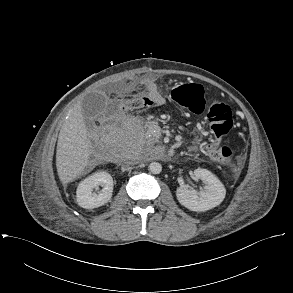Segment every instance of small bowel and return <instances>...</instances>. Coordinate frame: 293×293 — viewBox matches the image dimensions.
<instances>
[{
	"label": "small bowel",
	"mask_w": 293,
	"mask_h": 293,
	"mask_svg": "<svg viewBox=\"0 0 293 293\" xmlns=\"http://www.w3.org/2000/svg\"><path fill=\"white\" fill-rule=\"evenodd\" d=\"M124 88L126 90L143 88L154 97L155 105H162L165 103V97L160 93L156 80L151 75H145L139 78L131 79L124 84ZM194 148L195 147H193V149Z\"/></svg>",
	"instance_id": "obj_1"
}]
</instances>
